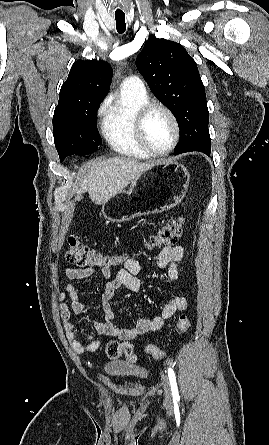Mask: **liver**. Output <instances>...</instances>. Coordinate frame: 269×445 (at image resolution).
<instances>
[{
  "label": "liver",
  "instance_id": "6515ba94",
  "mask_svg": "<svg viewBox=\"0 0 269 445\" xmlns=\"http://www.w3.org/2000/svg\"><path fill=\"white\" fill-rule=\"evenodd\" d=\"M154 163L140 162L126 157H115L103 161H92L89 172L83 177L75 200L80 201L82 194L89 193L96 205L107 202L121 193L137 176L153 166Z\"/></svg>",
  "mask_w": 269,
  "mask_h": 445
}]
</instances>
